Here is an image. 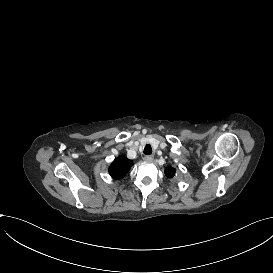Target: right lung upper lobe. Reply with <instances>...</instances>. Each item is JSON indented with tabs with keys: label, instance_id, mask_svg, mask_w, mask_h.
Listing matches in <instances>:
<instances>
[{
	"label": "right lung upper lobe",
	"instance_id": "1",
	"mask_svg": "<svg viewBox=\"0 0 273 273\" xmlns=\"http://www.w3.org/2000/svg\"><path fill=\"white\" fill-rule=\"evenodd\" d=\"M132 166V161L120 156L114 160L112 165L109 168L110 175L115 179H121L126 175L129 169Z\"/></svg>",
	"mask_w": 273,
	"mask_h": 273
}]
</instances>
